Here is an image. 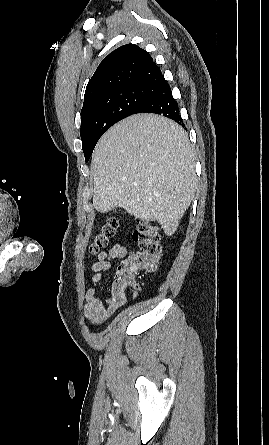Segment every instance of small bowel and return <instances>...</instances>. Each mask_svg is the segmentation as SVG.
Segmentation results:
<instances>
[{
	"label": "small bowel",
	"instance_id": "small-bowel-1",
	"mask_svg": "<svg viewBox=\"0 0 269 445\" xmlns=\"http://www.w3.org/2000/svg\"><path fill=\"white\" fill-rule=\"evenodd\" d=\"M128 254V249L122 244L113 245L108 251L98 254L97 261L91 267V287L86 293L84 316L91 325H101L109 319L125 302V291H116L113 287L111 293L100 298L97 287L104 276L110 271L113 260H121Z\"/></svg>",
	"mask_w": 269,
	"mask_h": 445
}]
</instances>
